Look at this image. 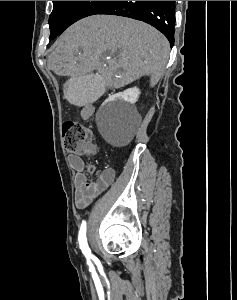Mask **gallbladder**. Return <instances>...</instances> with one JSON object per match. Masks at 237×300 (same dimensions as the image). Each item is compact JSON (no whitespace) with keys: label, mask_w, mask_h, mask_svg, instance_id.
I'll list each match as a JSON object with an SVG mask.
<instances>
[{"label":"gallbladder","mask_w":237,"mask_h":300,"mask_svg":"<svg viewBox=\"0 0 237 300\" xmlns=\"http://www.w3.org/2000/svg\"><path fill=\"white\" fill-rule=\"evenodd\" d=\"M65 82V99L69 105H93L105 94V76L89 72L88 76H68Z\"/></svg>","instance_id":"bac80fb5"}]
</instances>
